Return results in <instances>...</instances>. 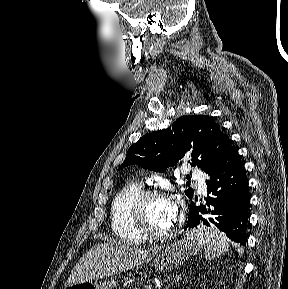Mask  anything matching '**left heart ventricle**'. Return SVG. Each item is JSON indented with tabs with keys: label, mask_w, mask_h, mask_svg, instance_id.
Instances as JSON below:
<instances>
[{
	"label": "left heart ventricle",
	"mask_w": 288,
	"mask_h": 289,
	"mask_svg": "<svg viewBox=\"0 0 288 289\" xmlns=\"http://www.w3.org/2000/svg\"><path fill=\"white\" fill-rule=\"evenodd\" d=\"M144 217L147 225L155 231H163L170 228L173 220L170 217L169 201L154 199L146 203Z\"/></svg>",
	"instance_id": "obj_1"
}]
</instances>
